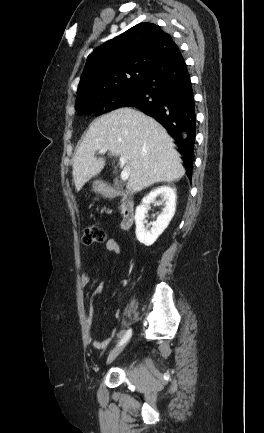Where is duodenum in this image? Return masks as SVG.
I'll list each match as a JSON object with an SVG mask.
<instances>
[{"instance_id": "410a0bca", "label": "duodenum", "mask_w": 264, "mask_h": 433, "mask_svg": "<svg viewBox=\"0 0 264 433\" xmlns=\"http://www.w3.org/2000/svg\"><path fill=\"white\" fill-rule=\"evenodd\" d=\"M104 194L109 199H120L121 201V228L128 230L135 219V201L133 196L125 191H119L112 187H107Z\"/></svg>"}]
</instances>
